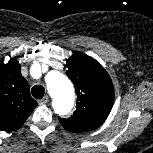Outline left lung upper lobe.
Listing matches in <instances>:
<instances>
[{
  "mask_svg": "<svg viewBox=\"0 0 153 153\" xmlns=\"http://www.w3.org/2000/svg\"><path fill=\"white\" fill-rule=\"evenodd\" d=\"M67 75L72 80L77 104L74 114L62 119V126L74 133L87 132L100 126L114 102V87L107 71L92 57L76 52L67 61Z\"/></svg>",
  "mask_w": 153,
  "mask_h": 153,
  "instance_id": "5c2ea615",
  "label": "left lung upper lobe"
}]
</instances>
